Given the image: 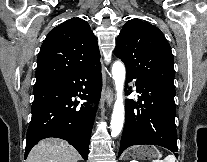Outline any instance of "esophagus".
<instances>
[{
    "label": "esophagus",
    "instance_id": "1",
    "mask_svg": "<svg viewBox=\"0 0 207 162\" xmlns=\"http://www.w3.org/2000/svg\"><path fill=\"white\" fill-rule=\"evenodd\" d=\"M104 100L106 101V104L108 107H110L114 101V93H113V90L109 86H107L105 90Z\"/></svg>",
    "mask_w": 207,
    "mask_h": 162
}]
</instances>
